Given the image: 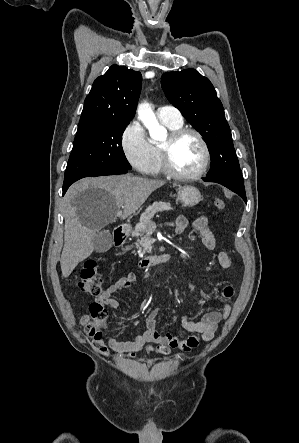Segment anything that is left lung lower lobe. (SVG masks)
I'll return each mask as SVG.
<instances>
[{
	"label": "left lung lower lobe",
	"instance_id": "1",
	"mask_svg": "<svg viewBox=\"0 0 299 443\" xmlns=\"http://www.w3.org/2000/svg\"><path fill=\"white\" fill-rule=\"evenodd\" d=\"M204 181L216 182L229 188L233 192L237 193L247 203L243 180L224 178V177H207L204 179Z\"/></svg>",
	"mask_w": 299,
	"mask_h": 443
}]
</instances>
